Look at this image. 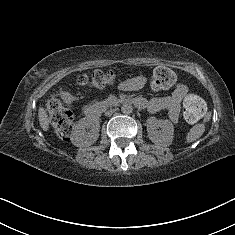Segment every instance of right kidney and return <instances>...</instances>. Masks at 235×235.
Returning <instances> with one entry per match:
<instances>
[{"label":"right kidney","instance_id":"right-kidney-1","mask_svg":"<svg viewBox=\"0 0 235 235\" xmlns=\"http://www.w3.org/2000/svg\"><path fill=\"white\" fill-rule=\"evenodd\" d=\"M99 120L81 119L72 134V143L77 147L90 146L95 143L99 137Z\"/></svg>","mask_w":235,"mask_h":235}]
</instances>
